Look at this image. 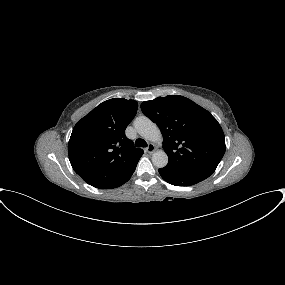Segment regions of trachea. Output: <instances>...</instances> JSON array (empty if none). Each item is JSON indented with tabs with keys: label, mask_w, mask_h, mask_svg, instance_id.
I'll return each instance as SVG.
<instances>
[{
	"label": "trachea",
	"mask_w": 285,
	"mask_h": 285,
	"mask_svg": "<svg viewBox=\"0 0 285 285\" xmlns=\"http://www.w3.org/2000/svg\"><path fill=\"white\" fill-rule=\"evenodd\" d=\"M135 146L136 147H147V143H146V141L144 139L138 138L135 141Z\"/></svg>",
	"instance_id": "1"
}]
</instances>
